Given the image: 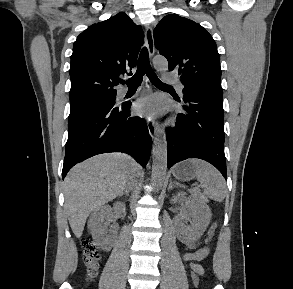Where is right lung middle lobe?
Masks as SVG:
<instances>
[{
    "instance_id": "dd1d6c3e",
    "label": "right lung middle lobe",
    "mask_w": 293,
    "mask_h": 289,
    "mask_svg": "<svg viewBox=\"0 0 293 289\" xmlns=\"http://www.w3.org/2000/svg\"><path fill=\"white\" fill-rule=\"evenodd\" d=\"M116 94L90 97L75 102H70V115L68 121L96 111L98 109L114 105Z\"/></svg>"
}]
</instances>
